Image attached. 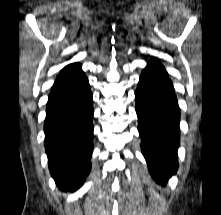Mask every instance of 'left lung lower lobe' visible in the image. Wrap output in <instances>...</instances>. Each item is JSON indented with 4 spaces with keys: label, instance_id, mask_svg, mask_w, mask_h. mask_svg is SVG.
<instances>
[{
    "label": "left lung lower lobe",
    "instance_id": "left-lung-lower-lobe-1",
    "mask_svg": "<svg viewBox=\"0 0 221 215\" xmlns=\"http://www.w3.org/2000/svg\"><path fill=\"white\" fill-rule=\"evenodd\" d=\"M142 153L153 179L165 185L177 172L180 110L163 65L148 61L135 92Z\"/></svg>",
    "mask_w": 221,
    "mask_h": 215
}]
</instances>
